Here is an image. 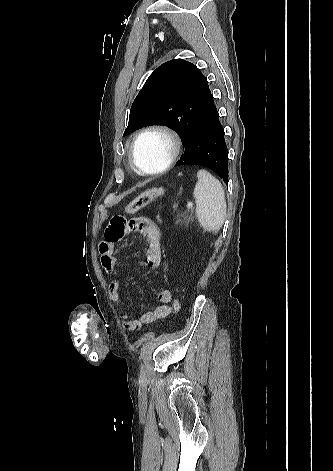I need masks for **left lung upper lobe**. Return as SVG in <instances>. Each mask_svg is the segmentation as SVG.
Masks as SVG:
<instances>
[{
  "label": "left lung upper lobe",
  "mask_w": 333,
  "mask_h": 471,
  "mask_svg": "<svg viewBox=\"0 0 333 471\" xmlns=\"http://www.w3.org/2000/svg\"><path fill=\"white\" fill-rule=\"evenodd\" d=\"M207 79L192 63L173 59L158 67L135 98L123 136L152 124H166L188 143L211 99Z\"/></svg>",
  "instance_id": "obj_1"
}]
</instances>
